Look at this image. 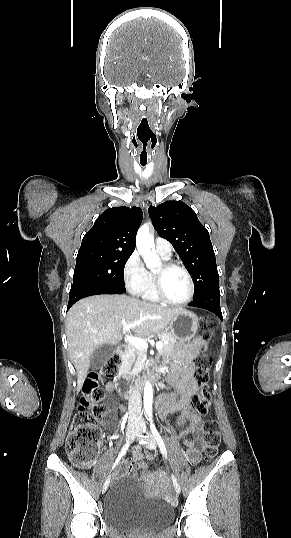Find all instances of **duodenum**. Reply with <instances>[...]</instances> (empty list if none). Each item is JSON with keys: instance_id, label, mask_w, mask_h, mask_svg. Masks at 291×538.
<instances>
[{"instance_id": "obj_1", "label": "duodenum", "mask_w": 291, "mask_h": 538, "mask_svg": "<svg viewBox=\"0 0 291 538\" xmlns=\"http://www.w3.org/2000/svg\"><path fill=\"white\" fill-rule=\"evenodd\" d=\"M129 351L130 350H129L128 347H120L118 349L119 355L121 357H123V358H126L128 356ZM117 377H118V378H116V381H118V383H117V386H118L117 394L120 397L130 398V397L134 396L135 394H137V391H136L137 388L142 389L145 386L144 381L139 380L136 383L137 387H134L135 383L133 382V378L132 377H126L125 373H123V372H119L117 374ZM156 377H157V374L155 372L145 373V378H148L150 380L160 381V378H156ZM146 386H149V383H146Z\"/></svg>"}]
</instances>
